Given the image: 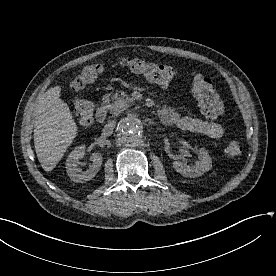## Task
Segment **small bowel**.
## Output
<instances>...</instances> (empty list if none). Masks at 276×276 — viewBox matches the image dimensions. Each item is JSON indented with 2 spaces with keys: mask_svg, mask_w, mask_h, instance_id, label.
Masks as SVG:
<instances>
[{
  "mask_svg": "<svg viewBox=\"0 0 276 276\" xmlns=\"http://www.w3.org/2000/svg\"><path fill=\"white\" fill-rule=\"evenodd\" d=\"M159 116L165 125L199 133L212 139L221 138L225 132L223 125L220 123L201 118L184 116L172 108H163L160 111Z\"/></svg>",
  "mask_w": 276,
  "mask_h": 276,
  "instance_id": "small-bowel-1",
  "label": "small bowel"
}]
</instances>
